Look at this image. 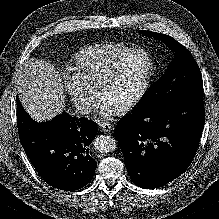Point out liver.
I'll return each instance as SVG.
<instances>
[{
  "label": "liver",
  "instance_id": "obj_1",
  "mask_svg": "<svg viewBox=\"0 0 219 219\" xmlns=\"http://www.w3.org/2000/svg\"><path fill=\"white\" fill-rule=\"evenodd\" d=\"M16 84L20 102L36 121L52 120L63 111V86L48 62L34 58L26 60L17 73Z\"/></svg>",
  "mask_w": 219,
  "mask_h": 219
}]
</instances>
